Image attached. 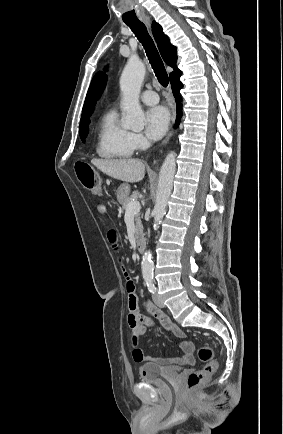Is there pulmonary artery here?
Listing matches in <instances>:
<instances>
[{
  "label": "pulmonary artery",
  "mask_w": 283,
  "mask_h": 434,
  "mask_svg": "<svg viewBox=\"0 0 283 434\" xmlns=\"http://www.w3.org/2000/svg\"><path fill=\"white\" fill-rule=\"evenodd\" d=\"M141 100L147 105H154L158 103L159 97L156 92L152 90H146L141 94Z\"/></svg>",
  "instance_id": "obj_1"
}]
</instances>
